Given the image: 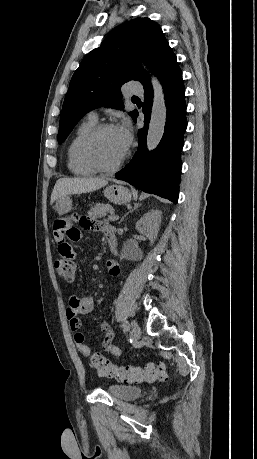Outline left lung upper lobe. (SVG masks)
<instances>
[{
  "label": "left lung upper lobe",
  "mask_w": 257,
  "mask_h": 459,
  "mask_svg": "<svg viewBox=\"0 0 257 459\" xmlns=\"http://www.w3.org/2000/svg\"><path fill=\"white\" fill-rule=\"evenodd\" d=\"M170 52L161 28L149 18H135L117 26L73 74L63 103L58 143L87 112L101 106L122 110V84L137 80L143 85L150 78L138 62H145L155 73ZM136 113L134 110L129 115L133 118Z\"/></svg>",
  "instance_id": "left-lung-upper-lobe-1"
}]
</instances>
